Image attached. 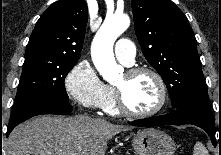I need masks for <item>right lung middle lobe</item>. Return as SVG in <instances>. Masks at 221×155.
Returning <instances> with one entry per match:
<instances>
[{
	"instance_id": "obj_1",
	"label": "right lung middle lobe",
	"mask_w": 221,
	"mask_h": 155,
	"mask_svg": "<svg viewBox=\"0 0 221 155\" xmlns=\"http://www.w3.org/2000/svg\"><path fill=\"white\" fill-rule=\"evenodd\" d=\"M76 62L49 57L25 58L12 114L40 98L68 101L64 80Z\"/></svg>"
}]
</instances>
